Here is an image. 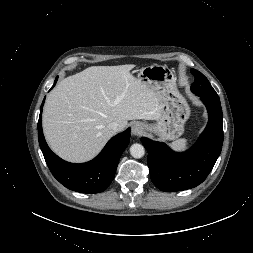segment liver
I'll return each instance as SVG.
<instances>
[{"mask_svg": "<svg viewBox=\"0 0 253 253\" xmlns=\"http://www.w3.org/2000/svg\"><path fill=\"white\" fill-rule=\"evenodd\" d=\"M135 65L91 66L59 82L47 96L42 115L50 148L71 162L95 157L128 120H157L160 99L155 90L130 74Z\"/></svg>", "mask_w": 253, "mask_h": 253, "instance_id": "liver-1", "label": "liver"}]
</instances>
